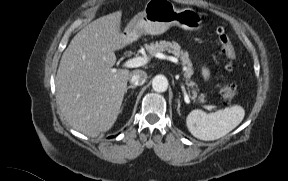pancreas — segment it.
<instances>
[{
	"instance_id": "1",
	"label": "pancreas",
	"mask_w": 288,
	"mask_h": 181,
	"mask_svg": "<svg viewBox=\"0 0 288 181\" xmlns=\"http://www.w3.org/2000/svg\"><path fill=\"white\" fill-rule=\"evenodd\" d=\"M146 51L149 53L151 57L156 56L157 53L167 51L172 53L177 58L181 60V64L186 67L184 72V77L187 80V85L193 87L195 85L194 82H188L191 75L193 74L192 63L189 59L188 52L183 51L180 45L177 42H169V41H160V42H152L150 44L145 45ZM194 95L196 92H193ZM204 95H201L200 100L203 101Z\"/></svg>"
}]
</instances>
